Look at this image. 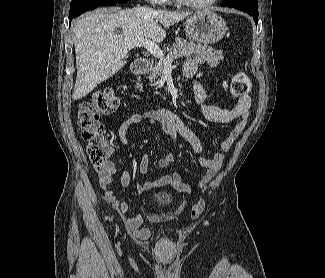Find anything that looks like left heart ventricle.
Returning <instances> with one entry per match:
<instances>
[{
	"label": "left heart ventricle",
	"mask_w": 325,
	"mask_h": 278,
	"mask_svg": "<svg viewBox=\"0 0 325 278\" xmlns=\"http://www.w3.org/2000/svg\"><path fill=\"white\" fill-rule=\"evenodd\" d=\"M191 1H195V2H205L207 0H191Z\"/></svg>",
	"instance_id": "left-heart-ventricle-1"
}]
</instances>
